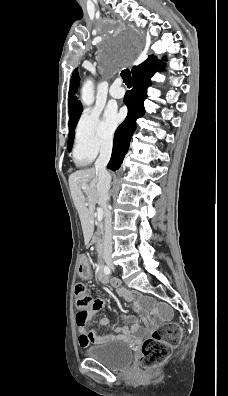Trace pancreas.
I'll list each match as a JSON object with an SVG mask.
<instances>
[{
    "mask_svg": "<svg viewBox=\"0 0 228 396\" xmlns=\"http://www.w3.org/2000/svg\"><path fill=\"white\" fill-rule=\"evenodd\" d=\"M103 239H104L103 225H102V223H98L97 228L95 229V233L93 235V238L90 241V244L91 245L95 244L96 251L98 252L99 255H101V253H102Z\"/></svg>",
    "mask_w": 228,
    "mask_h": 396,
    "instance_id": "1",
    "label": "pancreas"
}]
</instances>
